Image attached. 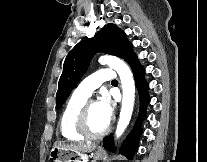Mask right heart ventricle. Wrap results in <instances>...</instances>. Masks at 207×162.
I'll return each mask as SVG.
<instances>
[{
    "label": "right heart ventricle",
    "mask_w": 207,
    "mask_h": 162,
    "mask_svg": "<svg viewBox=\"0 0 207 162\" xmlns=\"http://www.w3.org/2000/svg\"><path fill=\"white\" fill-rule=\"evenodd\" d=\"M87 97L74 92L61 113L59 120V131L61 135L71 141L83 140V136L75 130V117L81 106L87 101Z\"/></svg>",
    "instance_id": "e07e8e85"
}]
</instances>
